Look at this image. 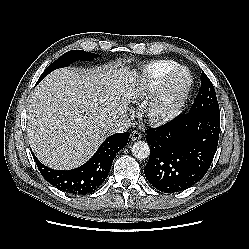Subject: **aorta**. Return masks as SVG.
I'll return each instance as SVG.
<instances>
[{
	"instance_id": "aorta-1",
	"label": "aorta",
	"mask_w": 249,
	"mask_h": 249,
	"mask_svg": "<svg viewBox=\"0 0 249 249\" xmlns=\"http://www.w3.org/2000/svg\"><path fill=\"white\" fill-rule=\"evenodd\" d=\"M131 150L137 159H145L150 155V147L145 141H136Z\"/></svg>"
}]
</instances>
